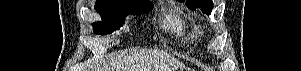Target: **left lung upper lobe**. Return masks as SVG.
Masks as SVG:
<instances>
[{
	"label": "left lung upper lobe",
	"mask_w": 301,
	"mask_h": 71,
	"mask_svg": "<svg viewBox=\"0 0 301 71\" xmlns=\"http://www.w3.org/2000/svg\"><path fill=\"white\" fill-rule=\"evenodd\" d=\"M179 2H183L185 0H177ZM186 5L190 9L201 8L202 12L205 14H210L213 9L212 0H186Z\"/></svg>",
	"instance_id": "5c2ea615"
}]
</instances>
